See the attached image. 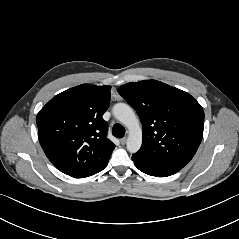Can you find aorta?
Here are the masks:
<instances>
[{
    "label": "aorta",
    "instance_id": "obj_1",
    "mask_svg": "<svg viewBox=\"0 0 239 239\" xmlns=\"http://www.w3.org/2000/svg\"><path fill=\"white\" fill-rule=\"evenodd\" d=\"M112 112L115 118L129 130L127 150L130 153L137 152L142 144V130L134 111L125 103H117L113 106Z\"/></svg>",
    "mask_w": 239,
    "mask_h": 239
}]
</instances>
